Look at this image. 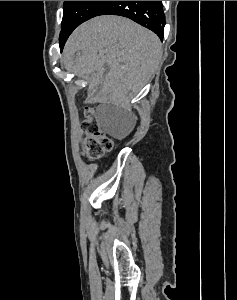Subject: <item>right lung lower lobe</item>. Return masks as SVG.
Here are the masks:
<instances>
[{
  "mask_svg": "<svg viewBox=\"0 0 237 300\" xmlns=\"http://www.w3.org/2000/svg\"><path fill=\"white\" fill-rule=\"evenodd\" d=\"M119 15L152 30L162 40L165 16L161 1H110L98 14Z\"/></svg>",
  "mask_w": 237,
  "mask_h": 300,
  "instance_id": "right-lung-lower-lobe-1",
  "label": "right lung lower lobe"
}]
</instances>
